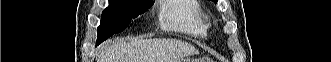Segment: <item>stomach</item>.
Here are the masks:
<instances>
[{"label":"stomach","instance_id":"1","mask_svg":"<svg viewBox=\"0 0 331 62\" xmlns=\"http://www.w3.org/2000/svg\"><path fill=\"white\" fill-rule=\"evenodd\" d=\"M179 62H194V61L190 58H182L179 60Z\"/></svg>","mask_w":331,"mask_h":62}]
</instances>
